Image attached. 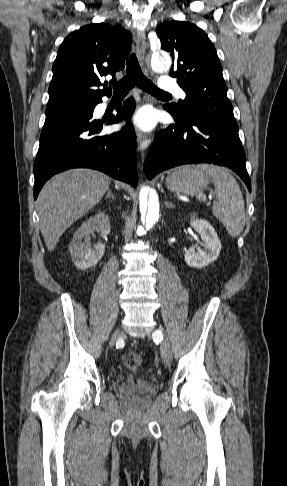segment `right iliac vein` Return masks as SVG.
<instances>
[{"label":"right iliac vein","instance_id":"right-iliac-vein-1","mask_svg":"<svg viewBox=\"0 0 287 486\" xmlns=\"http://www.w3.org/2000/svg\"><path fill=\"white\" fill-rule=\"evenodd\" d=\"M121 336V330L118 329L112 336V339H111V345H114V343L116 342V340Z\"/></svg>","mask_w":287,"mask_h":486}]
</instances>
